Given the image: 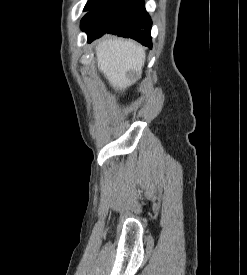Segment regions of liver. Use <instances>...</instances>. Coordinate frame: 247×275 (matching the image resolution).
Returning a JSON list of instances; mask_svg holds the SVG:
<instances>
[{"label": "liver", "mask_w": 247, "mask_h": 275, "mask_svg": "<svg viewBox=\"0 0 247 275\" xmlns=\"http://www.w3.org/2000/svg\"><path fill=\"white\" fill-rule=\"evenodd\" d=\"M95 53L99 71L120 91L130 84L128 73L140 77L146 58L141 45L124 39H104L97 43Z\"/></svg>", "instance_id": "1"}]
</instances>
